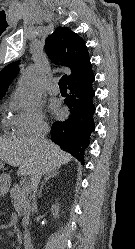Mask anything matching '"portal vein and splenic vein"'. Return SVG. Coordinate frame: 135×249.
Listing matches in <instances>:
<instances>
[{
	"mask_svg": "<svg viewBox=\"0 0 135 249\" xmlns=\"http://www.w3.org/2000/svg\"><path fill=\"white\" fill-rule=\"evenodd\" d=\"M23 189L26 191V192H30L31 190V186L29 184H25V186L23 187Z\"/></svg>",
	"mask_w": 135,
	"mask_h": 249,
	"instance_id": "18ae733b",
	"label": "portal vein and splenic vein"
}]
</instances>
